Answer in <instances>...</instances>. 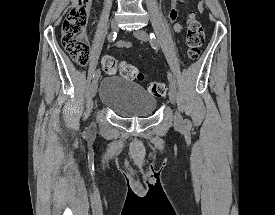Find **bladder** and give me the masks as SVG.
<instances>
[{
    "label": "bladder",
    "mask_w": 275,
    "mask_h": 215,
    "mask_svg": "<svg viewBox=\"0 0 275 215\" xmlns=\"http://www.w3.org/2000/svg\"><path fill=\"white\" fill-rule=\"evenodd\" d=\"M99 100L104 107L122 118L150 116L157 106L152 93L145 91L137 82L120 76L102 79Z\"/></svg>",
    "instance_id": "31cf9c89"
}]
</instances>
